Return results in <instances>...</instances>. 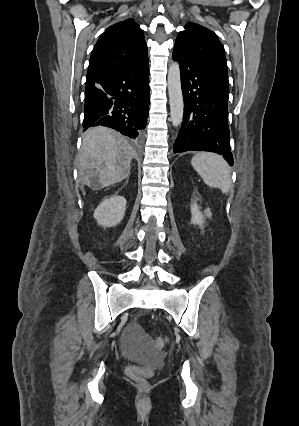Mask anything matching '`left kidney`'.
<instances>
[{
  "mask_svg": "<svg viewBox=\"0 0 299 426\" xmlns=\"http://www.w3.org/2000/svg\"><path fill=\"white\" fill-rule=\"evenodd\" d=\"M191 215H192L191 224L199 225L200 228H203V224L205 222V216L210 218L212 216V213L209 208H207L204 211V213H202L200 211V207L197 205L196 202H194L191 205Z\"/></svg>",
  "mask_w": 299,
  "mask_h": 426,
  "instance_id": "left-kidney-1",
  "label": "left kidney"
}]
</instances>
